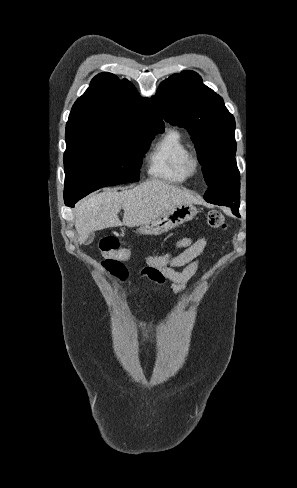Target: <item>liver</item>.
<instances>
[{
  "label": "liver",
  "mask_w": 297,
  "mask_h": 488,
  "mask_svg": "<svg viewBox=\"0 0 297 488\" xmlns=\"http://www.w3.org/2000/svg\"><path fill=\"white\" fill-rule=\"evenodd\" d=\"M197 201L189 192L156 179L122 192L108 189L92 194L76 207L75 228L79 243L86 242L94 231L122 225L141 226L176 205ZM121 208L124 210L123 222L118 217Z\"/></svg>",
  "instance_id": "liver-1"
}]
</instances>
